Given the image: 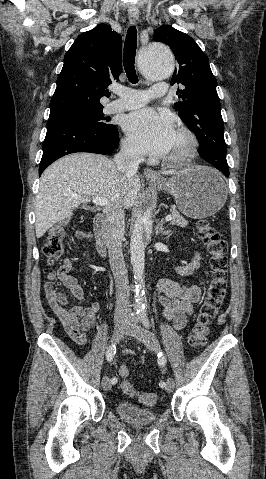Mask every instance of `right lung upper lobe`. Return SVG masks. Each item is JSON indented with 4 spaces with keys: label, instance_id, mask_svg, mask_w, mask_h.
Here are the masks:
<instances>
[{
    "label": "right lung upper lobe",
    "instance_id": "right-lung-upper-lobe-1",
    "mask_svg": "<svg viewBox=\"0 0 266 479\" xmlns=\"http://www.w3.org/2000/svg\"><path fill=\"white\" fill-rule=\"evenodd\" d=\"M121 53V36L110 26L100 24L81 33L64 56L50 113L103 107L100 98L110 96L106 88L122 72Z\"/></svg>",
    "mask_w": 266,
    "mask_h": 479
}]
</instances>
